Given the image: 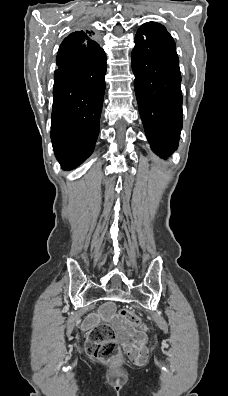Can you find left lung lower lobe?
<instances>
[{
	"mask_svg": "<svg viewBox=\"0 0 228 396\" xmlns=\"http://www.w3.org/2000/svg\"><path fill=\"white\" fill-rule=\"evenodd\" d=\"M131 54L135 93L152 150L167 157L178 147L182 92L176 45L165 27L136 34Z\"/></svg>",
	"mask_w": 228,
	"mask_h": 396,
	"instance_id": "left-lung-lower-lobe-1",
	"label": "left lung lower lobe"
}]
</instances>
